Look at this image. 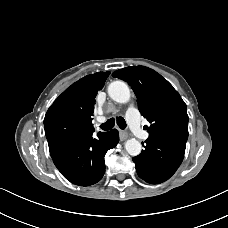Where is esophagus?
Masks as SVG:
<instances>
[{"label": "esophagus", "mask_w": 228, "mask_h": 228, "mask_svg": "<svg viewBox=\"0 0 228 228\" xmlns=\"http://www.w3.org/2000/svg\"><path fill=\"white\" fill-rule=\"evenodd\" d=\"M128 137H129V134L126 131H123V130L119 131L120 141H124V140L128 139Z\"/></svg>", "instance_id": "esophagus-1"}]
</instances>
